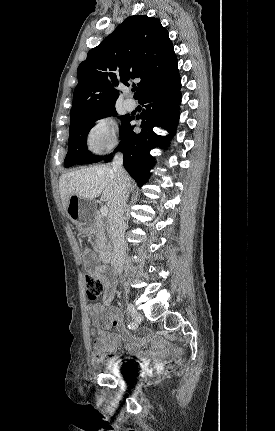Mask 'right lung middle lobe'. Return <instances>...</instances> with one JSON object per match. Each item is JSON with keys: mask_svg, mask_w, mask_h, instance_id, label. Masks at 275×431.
Instances as JSON below:
<instances>
[{"mask_svg": "<svg viewBox=\"0 0 275 431\" xmlns=\"http://www.w3.org/2000/svg\"><path fill=\"white\" fill-rule=\"evenodd\" d=\"M116 115L115 107H111L70 122V136L68 153L65 158V167H70L75 164L96 163L102 159V157L94 156L87 151V135L95 121L104 117ZM120 119L122 121V128L120 129V135L122 137L128 126L130 117L125 115L121 116Z\"/></svg>", "mask_w": 275, "mask_h": 431, "instance_id": "1", "label": "right lung middle lobe"}]
</instances>
